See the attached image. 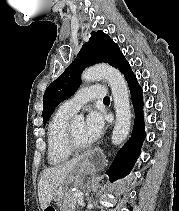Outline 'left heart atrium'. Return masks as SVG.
<instances>
[{"label":"left heart atrium","mask_w":179,"mask_h":211,"mask_svg":"<svg viewBox=\"0 0 179 211\" xmlns=\"http://www.w3.org/2000/svg\"><path fill=\"white\" fill-rule=\"evenodd\" d=\"M104 125V118L101 113L97 111L88 113L84 123V135L89 143L95 142L101 137Z\"/></svg>","instance_id":"obj_1"}]
</instances>
